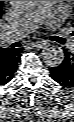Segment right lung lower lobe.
<instances>
[{"instance_id": "1", "label": "right lung lower lobe", "mask_w": 74, "mask_h": 122, "mask_svg": "<svg viewBox=\"0 0 74 122\" xmlns=\"http://www.w3.org/2000/svg\"><path fill=\"white\" fill-rule=\"evenodd\" d=\"M22 51V48H0V86L12 79Z\"/></svg>"}]
</instances>
